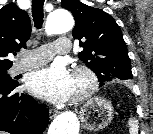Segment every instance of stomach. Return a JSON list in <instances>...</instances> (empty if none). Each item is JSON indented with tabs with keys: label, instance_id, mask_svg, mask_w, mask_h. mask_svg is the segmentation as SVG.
I'll return each instance as SVG.
<instances>
[{
	"label": "stomach",
	"instance_id": "stomach-1",
	"mask_svg": "<svg viewBox=\"0 0 153 134\" xmlns=\"http://www.w3.org/2000/svg\"><path fill=\"white\" fill-rule=\"evenodd\" d=\"M82 126L89 131H99L106 128L113 119V107L110 102L101 97L88 100L80 110Z\"/></svg>",
	"mask_w": 153,
	"mask_h": 134
}]
</instances>
